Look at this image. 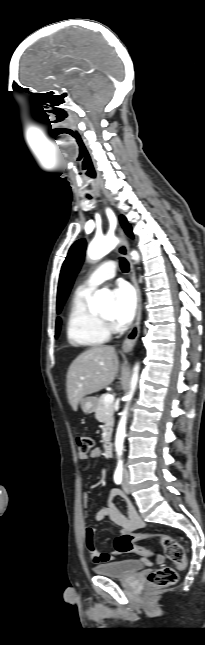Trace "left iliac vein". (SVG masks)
<instances>
[{
  "mask_svg": "<svg viewBox=\"0 0 205 645\" xmlns=\"http://www.w3.org/2000/svg\"><path fill=\"white\" fill-rule=\"evenodd\" d=\"M122 488H123L125 493L129 494L130 486H129V474L128 473H125V475H124Z\"/></svg>",
  "mask_w": 205,
  "mask_h": 645,
  "instance_id": "1",
  "label": "left iliac vein"
}]
</instances>
